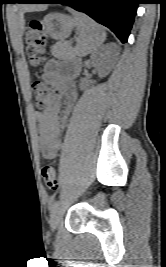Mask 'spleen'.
<instances>
[{"mask_svg":"<svg viewBox=\"0 0 166 267\" xmlns=\"http://www.w3.org/2000/svg\"><path fill=\"white\" fill-rule=\"evenodd\" d=\"M77 21L79 39L75 54L83 57L95 51L106 39L103 27L83 13L68 9Z\"/></svg>","mask_w":166,"mask_h":267,"instance_id":"3e777b00","label":"spleen"}]
</instances>
